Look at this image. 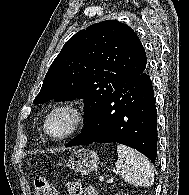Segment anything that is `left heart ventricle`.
<instances>
[{
    "label": "left heart ventricle",
    "mask_w": 189,
    "mask_h": 195,
    "mask_svg": "<svg viewBox=\"0 0 189 195\" xmlns=\"http://www.w3.org/2000/svg\"><path fill=\"white\" fill-rule=\"evenodd\" d=\"M74 114L70 110H60L52 115L48 121V131L52 136L64 135L72 127Z\"/></svg>",
    "instance_id": "obj_1"
}]
</instances>
